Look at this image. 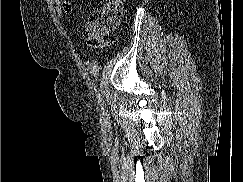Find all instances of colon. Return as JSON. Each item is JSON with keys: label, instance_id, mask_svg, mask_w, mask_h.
I'll return each mask as SVG.
<instances>
[{"label": "colon", "instance_id": "obj_1", "mask_svg": "<svg viewBox=\"0 0 243 182\" xmlns=\"http://www.w3.org/2000/svg\"><path fill=\"white\" fill-rule=\"evenodd\" d=\"M74 0H63V10L69 13ZM122 0H105L90 11L84 30L88 44L95 48L110 45L115 40L114 31L121 15Z\"/></svg>", "mask_w": 243, "mask_h": 182}]
</instances>
